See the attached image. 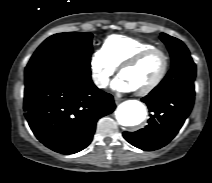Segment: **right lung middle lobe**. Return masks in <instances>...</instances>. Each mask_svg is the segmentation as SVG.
I'll return each mask as SVG.
<instances>
[{
  "label": "right lung middle lobe",
  "instance_id": "1",
  "mask_svg": "<svg viewBox=\"0 0 212 183\" xmlns=\"http://www.w3.org/2000/svg\"><path fill=\"white\" fill-rule=\"evenodd\" d=\"M92 34L58 33L47 38L35 51L26 68L33 66H73L90 69Z\"/></svg>",
  "mask_w": 212,
  "mask_h": 183
}]
</instances>
